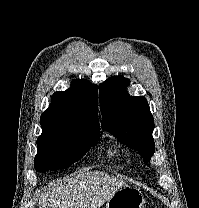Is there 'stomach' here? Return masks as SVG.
<instances>
[{
  "mask_svg": "<svg viewBox=\"0 0 199 208\" xmlns=\"http://www.w3.org/2000/svg\"><path fill=\"white\" fill-rule=\"evenodd\" d=\"M144 203L145 199L138 188L124 186L107 201L105 208H143Z\"/></svg>",
  "mask_w": 199,
  "mask_h": 208,
  "instance_id": "0dacf381",
  "label": "stomach"
}]
</instances>
